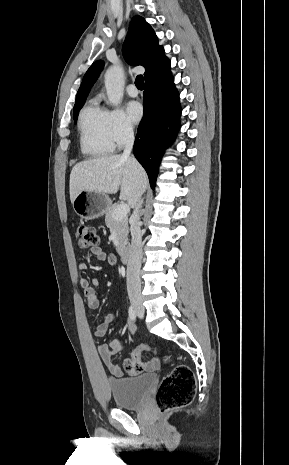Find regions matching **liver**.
<instances>
[{
  "instance_id": "6515ba94",
  "label": "liver",
  "mask_w": 289,
  "mask_h": 465,
  "mask_svg": "<svg viewBox=\"0 0 289 465\" xmlns=\"http://www.w3.org/2000/svg\"><path fill=\"white\" fill-rule=\"evenodd\" d=\"M148 185L143 167L134 158L107 155L77 163L71 171L69 192L73 203L82 191L115 194L135 207Z\"/></svg>"
}]
</instances>
